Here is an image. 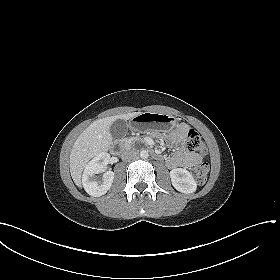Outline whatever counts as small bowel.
I'll list each match as a JSON object with an SVG mask.
<instances>
[{"mask_svg": "<svg viewBox=\"0 0 280 280\" xmlns=\"http://www.w3.org/2000/svg\"><path fill=\"white\" fill-rule=\"evenodd\" d=\"M189 131L187 124H180L170 135L169 142L175 147L174 153L167 159V166L171 169L177 167H190L203 160V155L191 153L186 150L184 140Z\"/></svg>", "mask_w": 280, "mask_h": 280, "instance_id": "small-bowel-1", "label": "small bowel"}]
</instances>
